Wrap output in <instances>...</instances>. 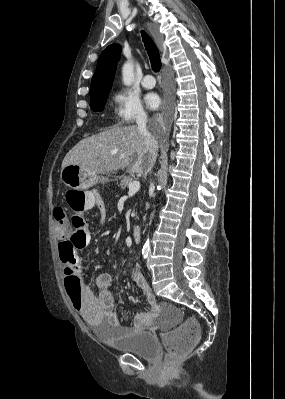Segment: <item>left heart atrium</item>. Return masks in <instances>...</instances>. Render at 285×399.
<instances>
[{
  "label": "left heart atrium",
  "instance_id": "obj_1",
  "mask_svg": "<svg viewBox=\"0 0 285 399\" xmlns=\"http://www.w3.org/2000/svg\"><path fill=\"white\" fill-rule=\"evenodd\" d=\"M145 102L150 109L155 110L160 105V98L155 93H149L145 97Z\"/></svg>",
  "mask_w": 285,
  "mask_h": 399
}]
</instances>
